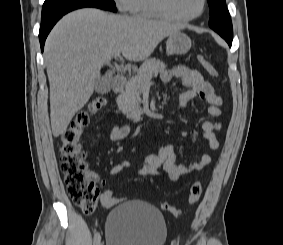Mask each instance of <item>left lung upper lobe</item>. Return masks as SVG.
<instances>
[{
  "label": "left lung upper lobe",
  "instance_id": "5c2ea615",
  "mask_svg": "<svg viewBox=\"0 0 283 245\" xmlns=\"http://www.w3.org/2000/svg\"><path fill=\"white\" fill-rule=\"evenodd\" d=\"M210 7L209 26L223 38H233L232 22L225 0H207Z\"/></svg>",
  "mask_w": 283,
  "mask_h": 245
}]
</instances>
